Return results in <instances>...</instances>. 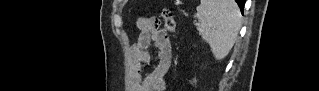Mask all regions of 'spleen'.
Here are the masks:
<instances>
[{"label": "spleen", "instance_id": "1", "mask_svg": "<svg viewBox=\"0 0 319 91\" xmlns=\"http://www.w3.org/2000/svg\"><path fill=\"white\" fill-rule=\"evenodd\" d=\"M200 22L199 34L211 47L216 60L232 49L241 28V13L234 0H201L194 15Z\"/></svg>", "mask_w": 319, "mask_h": 91}]
</instances>
